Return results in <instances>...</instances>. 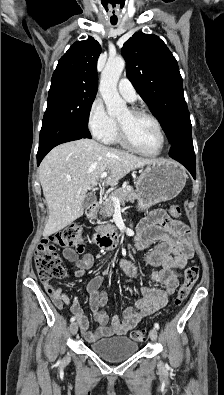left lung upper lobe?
I'll list each match as a JSON object with an SVG mask.
<instances>
[{
	"instance_id": "obj_1",
	"label": "left lung upper lobe",
	"mask_w": 224,
	"mask_h": 395,
	"mask_svg": "<svg viewBox=\"0 0 224 395\" xmlns=\"http://www.w3.org/2000/svg\"><path fill=\"white\" fill-rule=\"evenodd\" d=\"M122 54L128 79L172 143L191 123L176 59L158 36L142 32L124 43Z\"/></svg>"
}]
</instances>
